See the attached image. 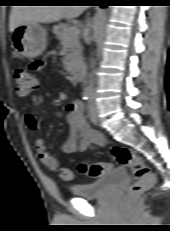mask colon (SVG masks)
<instances>
[{
    "label": "colon",
    "mask_w": 170,
    "mask_h": 231,
    "mask_svg": "<svg viewBox=\"0 0 170 231\" xmlns=\"http://www.w3.org/2000/svg\"><path fill=\"white\" fill-rule=\"evenodd\" d=\"M14 87L16 92L21 96H27L37 87V80L32 72L25 67H17L13 71ZM110 156L114 162L119 165L129 167L135 177V183L129 189L127 198L134 200L144 191L150 189L155 183V176L144 164L143 160L133 150L127 147L115 146L110 151ZM112 164L80 163L78 171L89 177H100L104 175ZM58 176L64 181L73 179L72 171L67 167H60L57 171Z\"/></svg>",
    "instance_id": "obj_1"
}]
</instances>
